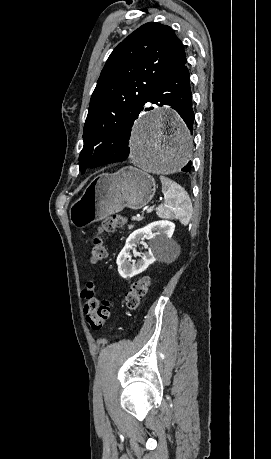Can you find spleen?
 Returning a JSON list of instances; mask_svg holds the SVG:
<instances>
[{"instance_id":"3e777b00","label":"spleen","mask_w":271,"mask_h":459,"mask_svg":"<svg viewBox=\"0 0 271 459\" xmlns=\"http://www.w3.org/2000/svg\"><path fill=\"white\" fill-rule=\"evenodd\" d=\"M162 192L164 194V204L158 206L157 216L159 218H171V220H180L181 224L187 226L192 216V206L187 202V194L184 188L175 184L173 180L160 176Z\"/></svg>"}]
</instances>
